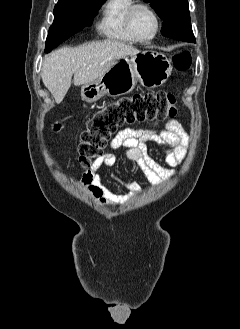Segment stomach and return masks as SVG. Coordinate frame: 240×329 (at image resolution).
Here are the masks:
<instances>
[{"label":"stomach","instance_id":"1","mask_svg":"<svg viewBox=\"0 0 240 329\" xmlns=\"http://www.w3.org/2000/svg\"><path fill=\"white\" fill-rule=\"evenodd\" d=\"M172 65L160 52L146 50L123 57L101 77L84 84L81 97L93 103L108 95L118 97L130 93L137 82L146 88L162 86L171 75Z\"/></svg>","mask_w":240,"mask_h":329}]
</instances>
